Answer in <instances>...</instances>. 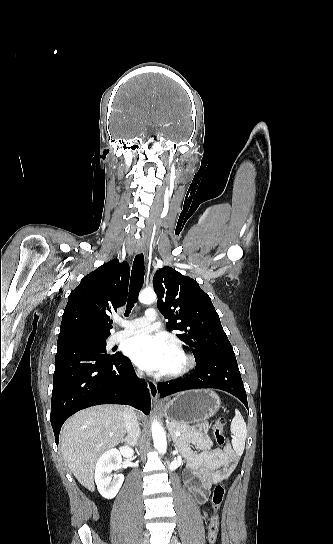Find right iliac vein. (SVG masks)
<instances>
[{"instance_id":"right-iliac-vein-1","label":"right iliac vein","mask_w":333,"mask_h":544,"mask_svg":"<svg viewBox=\"0 0 333 544\" xmlns=\"http://www.w3.org/2000/svg\"><path fill=\"white\" fill-rule=\"evenodd\" d=\"M141 544H149V537L148 536L144 537Z\"/></svg>"}]
</instances>
